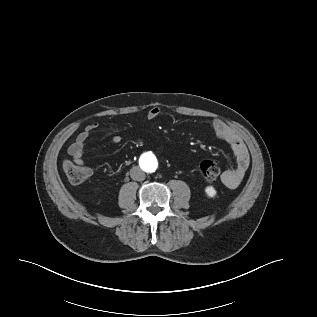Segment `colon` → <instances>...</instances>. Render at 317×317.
Masks as SVG:
<instances>
[{
	"instance_id": "colon-1",
	"label": "colon",
	"mask_w": 317,
	"mask_h": 317,
	"mask_svg": "<svg viewBox=\"0 0 317 317\" xmlns=\"http://www.w3.org/2000/svg\"><path fill=\"white\" fill-rule=\"evenodd\" d=\"M64 171L68 180L73 184H80L86 181L92 174L91 168L74 161L64 163ZM200 171L206 181L216 180L222 173V167L217 160H204L200 164Z\"/></svg>"
}]
</instances>
